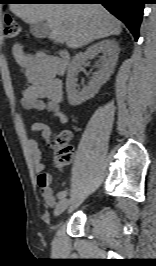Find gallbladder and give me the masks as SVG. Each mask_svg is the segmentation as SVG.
I'll return each mask as SVG.
<instances>
[{"label":"gallbladder","instance_id":"1","mask_svg":"<svg viewBox=\"0 0 156 266\" xmlns=\"http://www.w3.org/2000/svg\"><path fill=\"white\" fill-rule=\"evenodd\" d=\"M30 32L36 38H45L50 33V28L46 21L34 23L30 25Z\"/></svg>","mask_w":156,"mask_h":266}]
</instances>
